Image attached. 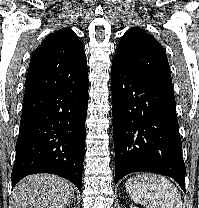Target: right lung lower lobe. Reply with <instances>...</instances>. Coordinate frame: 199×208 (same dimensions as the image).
Listing matches in <instances>:
<instances>
[{"label":"right lung lower lobe","mask_w":199,"mask_h":208,"mask_svg":"<svg viewBox=\"0 0 199 208\" xmlns=\"http://www.w3.org/2000/svg\"><path fill=\"white\" fill-rule=\"evenodd\" d=\"M89 81L24 98L12 188L33 173H52L82 187Z\"/></svg>","instance_id":"1"}]
</instances>
